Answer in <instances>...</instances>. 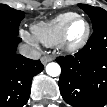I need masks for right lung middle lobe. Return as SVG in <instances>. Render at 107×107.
<instances>
[{
    "mask_svg": "<svg viewBox=\"0 0 107 107\" xmlns=\"http://www.w3.org/2000/svg\"><path fill=\"white\" fill-rule=\"evenodd\" d=\"M24 12L0 4V37H17Z\"/></svg>",
    "mask_w": 107,
    "mask_h": 107,
    "instance_id": "1",
    "label": "right lung middle lobe"
}]
</instances>
